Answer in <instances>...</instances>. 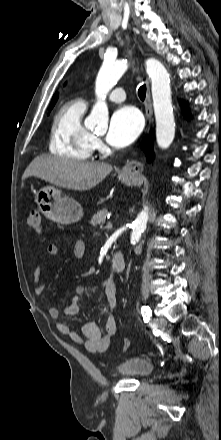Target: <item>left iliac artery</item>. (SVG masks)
<instances>
[{
    "mask_svg": "<svg viewBox=\"0 0 221 440\" xmlns=\"http://www.w3.org/2000/svg\"><path fill=\"white\" fill-rule=\"evenodd\" d=\"M141 313L143 316L144 321L147 323L149 322L150 317L152 316V311L150 309V307L148 306H142L141 307Z\"/></svg>",
    "mask_w": 221,
    "mask_h": 440,
    "instance_id": "obj_1",
    "label": "left iliac artery"
}]
</instances>
